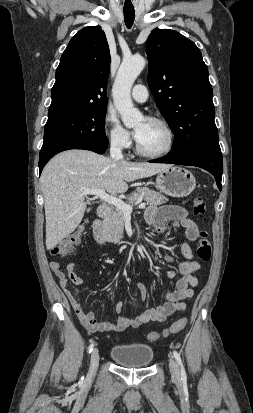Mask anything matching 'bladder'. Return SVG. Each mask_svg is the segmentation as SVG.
Listing matches in <instances>:
<instances>
[{
  "instance_id": "1",
  "label": "bladder",
  "mask_w": 253,
  "mask_h": 413,
  "mask_svg": "<svg viewBox=\"0 0 253 413\" xmlns=\"http://www.w3.org/2000/svg\"><path fill=\"white\" fill-rule=\"evenodd\" d=\"M112 360L126 368H144L154 359L153 349L145 344H122L114 346L110 351Z\"/></svg>"
}]
</instances>
